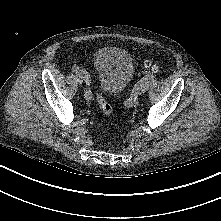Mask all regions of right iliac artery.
<instances>
[{
  "label": "right iliac artery",
  "mask_w": 221,
  "mask_h": 221,
  "mask_svg": "<svg viewBox=\"0 0 221 221\" xmlns=\"http://www.w3.org/2000/svg\"><path fill=\"white\" fill-rule=\"evenodd\" d=\"M72 72H74V73L80 75L82 78H84L85 83H86L84 97L86 100H91L93 98L92 82H91V79H90V76L88 75V73L84 69H82L78 66H73Z\"/></svg>",
  "instance_id": "1"
}]
</instances>
